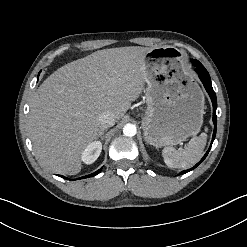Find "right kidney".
Here are the masks:
<instances>
[{
  "label": "right kidney",
  "mask_w": 247,
  "mask_h": 247,
  "mask_svg": "<svg viewBox=\"0 0 247 247\" xmlns=\"http://www.w3.org/2000/svg\"><path fill=\"white\" fill-rule=\"evenodd\" d=\"M102 150V144L99 141L92 142L86 146L82 152L81 159L85 164H92L97 160Z\"/></svg>",
  "instance_id": "ca27d5eb"
}]
</instances>
